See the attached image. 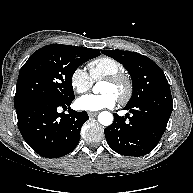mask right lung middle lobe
<instances>
[{
  "label": "right lung middle lobe",
  "mask_w": 193,
  "mask_h": 193,
  "mask_svg": "<svg viewBox=\"0 0 193 193\" xmlns=\"http://www.w3.org/2000/svg\"><path fill=\"white\" fill-rule=\"evenodd\" d=\"M95 57L97 55L92 52L70 45L52 44L40 48L20 70L14 97L15 108L44 96L73 100L72 76L75 70Z\"/></svg>",
  "instance_id": "1"
}]
</instances>
